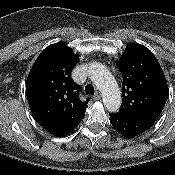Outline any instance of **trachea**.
Returning a JSON list of instances; mask_svg holds the SVG:
<instances>
[{
  "instance_id": "3493384b",
  "label": "trachea",
  "mask_w": 175,
  "mask_h": 175,
  "mask_svg": "<svg viewBox=\"0 0 175 175\" xmlns=\"http://www.w3.org/2000/svg\"><path fill=\"white\" fill-rule=\"evenodd\" d=\"M85 92H86L87 95H94L95 90H94L93 85L92 84H87L85 86Z\"/></svg>"
}]
</instances>
